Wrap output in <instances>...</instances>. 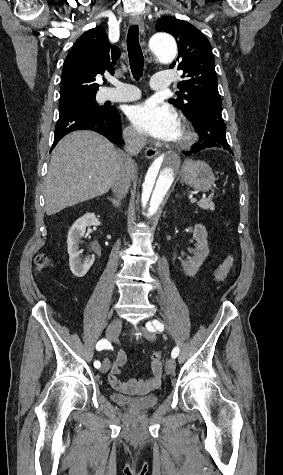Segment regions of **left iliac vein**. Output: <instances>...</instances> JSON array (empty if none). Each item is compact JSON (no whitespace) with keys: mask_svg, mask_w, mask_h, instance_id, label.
<instances>
[{"mask_svg":"<svg viewBox=\"0 0 283 475\" xmlns=\"http://www.w3.org/2000/svg\"><path fill=\"white\" fill-rule=\"evenodd\" d=\"M141 332L143 333L144 337L148 339L149 341L153 342L156 340V337L153 333V331H148L144 327H140ZM176 369V362L174 358H169L166 363H165V371L167 374H172L175 372Z\"/></svg>","mask_w":283,"mask_h":475,"instance_id":"4c4485c4","label":"left iliac vein"}]
</instances>
